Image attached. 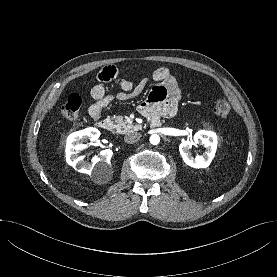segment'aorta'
<instances>
[{
    "label": "aorta",
    "instance_id": "obj_1",
    "mask_svg": "<svg viewBox=\"0 0 277 277\" xmlns=\"http://www.w3.org/2000/svg\"><path fill=\"white\" fill-rule=\"evenodd\" d=\"M159 142H160V137H159V135L153 134V135L150 136V143H151L152 145H157V144H159Z\"/></svg>",
    "mask_w": 277,
    "mask_h": 277
}]
</instances>
